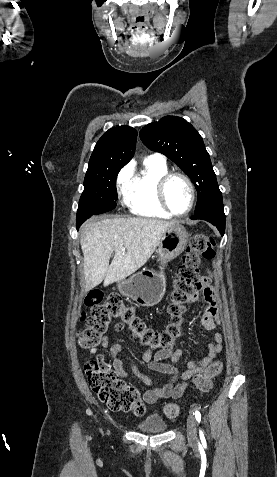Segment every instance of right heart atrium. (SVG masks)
Instances as JSON below:
<instances>
[{"instance_id":"d8ad5b80","label":"right heart atrium","mask_w":277,"mask_h":477,"mask_svg":"<svg viewBox=\"0 0 277 477\" xmlns=\"http://www.w3.org/2000/svg\"><path fill=\"white\" fill-rule=\"evenodd\" d=\"M131 179V170L129 166H125L121 169L117 176V186L120 191V194L124 199H126L128 193V187Z\"/></svg>"}]
</instances>
